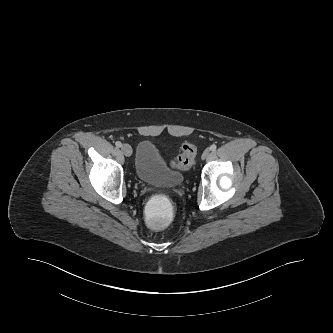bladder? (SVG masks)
I'll list each match as a JSON object with an SVG mask.
<instances>
[{
	"instance_id": "obj_1",
	"label": "bladder",
	"mask_w": 333,
	"mask_h": 333,
	"mask_svg": "<svg viewBox=\"0 0 333 333\" xmlns=\"http://www.w3.org/2000/svg\"><path fill=\"white\" fill-rule=\"evenodd\" d=\"M135 173L141 181L152 185L178 187L183 183L182 173L168 166L150 140L140 142L137 147Z\"/></svg>"
}]
</instances>
